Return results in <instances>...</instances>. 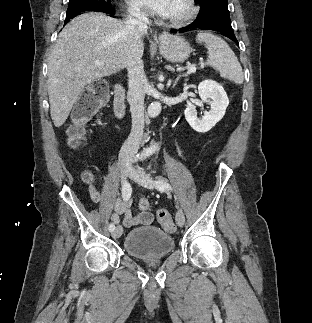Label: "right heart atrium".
Returning a JSON list of instances; mask_svg holds the SVG:
<instances>
[{
    "label": "right heart atrium",
    "mask_w": 312,
    "mask_h": 323,
    "mask_svg": "<svg viewBox=\"0 0 312 323\" xmlns=\"http://www.w3.org/2000/svg\"><path fill=\"white\" fill-rule=\"evenodd\" d=\"M119 7L121 9H124L126 7V4L124 2H121L119 4ZM125 11L127 13H130L131 17H150V10H139L138 6H127L125 8Z\"/></svg>",
    "instance_id": "d8ad5b80"
}]
</instances>
